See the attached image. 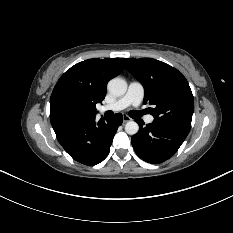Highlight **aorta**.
Wrapping results in <instances>:
<instances>
[{
    "label": "aorta",
    "mask_w": 233,
    "mask_h": 233,
    "mask_svg": "<svg viewBox=\"0 0 233 233\" xmlns=\"http://www.w3.org/2000/svg\"><path fill=\"white\" fill-rule=\"evenodd\" d=\"M107 89L115 96H122L127 91V82L122 78H113L108 82ZM125 131L129 135H134L139 131V126L135 121H129L125 125Z\"/></svg>",
    "instance_id": "762f6f07"
}]
</instances>
